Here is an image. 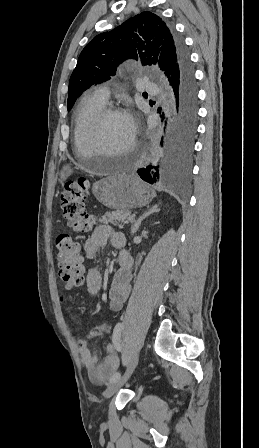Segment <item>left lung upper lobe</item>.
<instances>
[{
	"mask_svg": "<svg viewBox=\"0 0 259 448\" xmlns=\"http://www.w3.org/2000/svg\"><path fill=\"white\" fill-rule=\"evenodd\" d=\"M180 51L171 28L159 16L145 11L131 17L84 47L70 78L68 110L86 89L114 76L125 60L139 58L143 65L159 64L166 71L178 60Z\"/></svg>",
	"mask_w": 259,
	"mask_h": 448,
	"instance_id": "obj_1",
	"label": "left lung upper lobe"
}]
</instances>
